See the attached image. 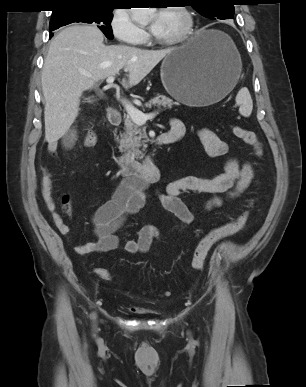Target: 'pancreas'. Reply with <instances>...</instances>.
I'll list each match as a JSON object with an SVG mask.
<instances>
[{
    "label": "pancreas",
    "mask_w": 306,
    "mask_h": 387,
    "mask_svg": "<svg viewBox=\"0 0 306 387\" xmlns=\"http://www.w3.org/2000/svg\"><path fill=\"white\" fill-rule=\"evenodd\" d=\"M176 104L172 99L164 96L157 95L151 99L148 103H145L146 108L156 106L158 109L171 108ZM124 133L120 134L119 150L128 156L136 159H142L144 157V151L147 148V142L149 141L145 129H141L135 124L130 117H124Z\"/></svg>",
    "instance_id": "pancreas-1"
}]
</instances>
